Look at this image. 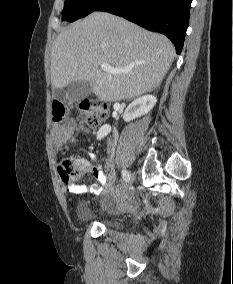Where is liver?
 Wrapping results in <instances>:
<instances>
[{
    "instance_id": "obj_1",
    "label": "liver",
    "mask_w": 233,
    "mask_h": 284,
    "mask_svg": "<svg viewBox=\"0 0 233 284\" xmlns=\"http://www.w3.org/2000/svg\"><path fill=\"white\" fill-rule=\"evenodd\" d=\"M174 56L175 48L167 37L112 14L94 12L54 40L51 83L62 89L85 81L102 101L133 99L159 87ZM102 63L129 72L101 71Z\"/></svg>"
}]
</instances>
